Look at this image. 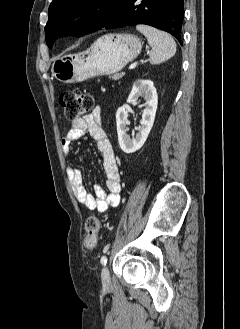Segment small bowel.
Instances as JSON below:
<instances>
[{
	"mask_svg": "<svg viewBox=\"0 0 240 329\" xmlns=\"http://www.w3.org/2000/svg\"><path fill=\"white\" fill-rule=\"evenodd\" d=\"M86 133L94 139L102 155L107 191L102 186L95 185L94 194L89 193L83 184V175L78 167H68L67 174L77 200L90 210L105 212L109 207L119 204L121 177L113 147L102 127L101 110L98 106L91 113L71 122L67 134L61 139L64 154L68 155L72 143Z\"/></svg>",
	"mask_w": 240,
	"mask_h": 329,
	"instance_id": "obj_1",
	"label": "small bowel"
}]
</instances>
